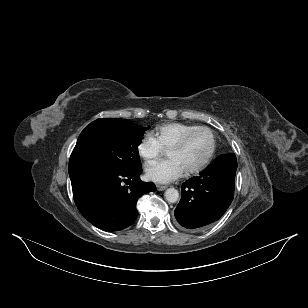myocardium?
<instances>
[{
    "instance_id": "myocardium-1",
    "label": "myocardium",
    "mask_w": 308,
    "mask_h": 308,
    "mask_svg": "<svg viewBox=\"0 0 308 308\" xmlns=\"http://www.w3.org/2000/svg\"><path fill=\"white\" fill-rule=\"evenodd\" d=\"M200 131H207V132L210 133V135L212 137V147L210 149L209 154L207 155V157L205 158V160L202 163H200L196 167H193V168L185 171V173L187 175L197 174V173L203 171L205 168H207L208 165L211 163V161L214 158V155L216 153V149H217V136H216L215 132L209 127H205V126L196 127L194 129L186 132L181 138H179L174 144H172L167 149V150H178V149L183 148L186 145V143L189 141V139L194 134H196L197 132H200Z\"/></svg>"
}]
</instances>
